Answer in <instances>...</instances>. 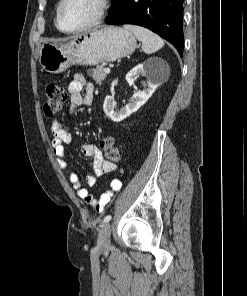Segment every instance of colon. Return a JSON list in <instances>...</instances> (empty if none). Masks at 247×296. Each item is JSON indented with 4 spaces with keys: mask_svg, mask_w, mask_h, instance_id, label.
<instances>
[{
    "mask_svg": "<svg viewBox=\"0 0 247 296\" xmlns=\"http://www.w3.org/2000/svg\"><path fill=\"white\" fill-rule=\"evenodd\" d=\"M45 96L46 100L43 108L44 113L49 117L60 112L67 100V93L64 87L57 83L47 86ZM100 147L109 162L117 163L120 161V151L112 137L103 138L100 142Z\"/></svg>",
    "mask_w": 247,
    "mask_h": 296,
    "instance_id": "5ec220e1",
    "label": "colon"
}]
</instances>
